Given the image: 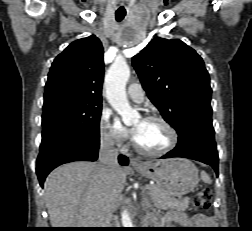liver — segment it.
Listing matches in <instances>:
<instances>
[{
    "label": "liver",
    "mask_w": 252,
    "mask_h": 231,
    "mask_svg": "<svg viewBox=\"0 0 252 231\" xmlns=\"http://www.w3.org/2000/svg\"><path fill=\"white\" fill-rule=\"evenodd\" d=\"M126 179V168L110 176L100 163L72 162L56 168L44 183L52 228H105Z\"/></svg>",
    "instance_id": "6515ba94"
}]
</instances>
